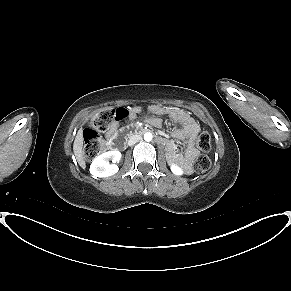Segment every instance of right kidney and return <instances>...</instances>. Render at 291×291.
Instances as JSON below:
<instances>
[{"label":"right kidney","mask_w":291,"mask_h":291,"mask_svg":"<svg viewBox=\"0 0 291 291\" xmlns=\"http://www.w3.org/2000/svg\"><path fill=\"white\" fill-rule=\"evenodd\" d=\"M121 160V152L118 150L108 151L97 156L90 166V173L94 177H108L118 172V166L116 164H110L119 162Z\"/></svg>","instance_id":"obj_1"}]
</instances>
